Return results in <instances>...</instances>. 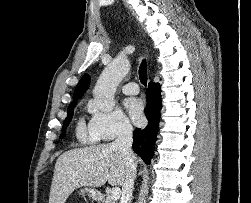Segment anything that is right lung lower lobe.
Listing matches in <instances>:
<instances>
[{
	"label": "right lung lower lobe",
	"instance_id": "98d812e1",
	"mask_svg": "<svg viewBox=\"0 0 251 203\" xmlns=\"http://www.w3.org/2000/svg\"><path fill=\"white\" fill-rule=\"evenodd\" d=\"M161 87L159 83L150 82L146 91L147 105L145 115L148 119V125L144 129L136 128L133 133V150L149 164L154 153V143L158 132L160 119Z\"/></svg>",
	"mask_w": 251,
	"mask_h": 203
}]
</instances>
